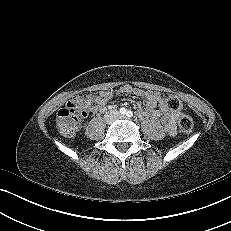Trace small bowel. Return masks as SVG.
Instances as JSON below:
<instances>
[{
    "label": "small bowel",
    "instance_id": "obj_1",
    "mask_svg": "<svg viewBox=\"0 0 231 231\" xmlns=\"http://www.w3.org/2000/svg\"><path fill=\"white\" fill-rule=\"evenodd\" d=\"M115 93L134 94L144 98V103H137V115L139 117L159 120L164 130L174 135L176 133V121L180 117V112L171 110L167 105L165 98L156 92L145 91L140 88L124 85L116 91L103 90L97 95H80L78 97L79 106L86 112L97 113L106 110L107 102Z\"/></svg>",
    "mask_w": 231,
    "mask_h": 231
}]
</instances>
